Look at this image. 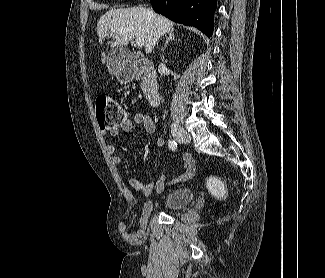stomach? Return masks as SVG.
<instances>
[{
    "mask_svg": "<svg viewBox=\"0 0 325 278\" xmlns=\"http://www.w3.org/2000/svg\"><path fill=\"white\" fill-rule=\"evenodd\" d=\"M136 71L131 66H120L117 72V78L121 83H128L134 79Z\"/></svg>",
    "mask_w": 325,
    "mask_h": 278,
    "instance_id": "obj_1",
    "label": "stomach"
}]
</instances>
